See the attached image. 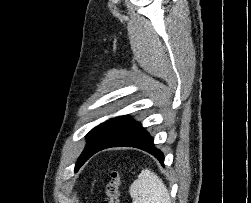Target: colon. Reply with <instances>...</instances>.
<instances>
[{"instance_id":"colon-1","label":"colon","mask_w":251,"mask_h":203,"mask_svg":"<svg viewBox=\"0 0 251 203\" xmlns=\"http://www.w3.org/2000/svg\"><path fill=\"white\" fill-rule=\"evenodd\" d=\"M121 172L119 169L110 170L109 181L105 185L104 203H120Z\"/></svg>"}]
</instances>
